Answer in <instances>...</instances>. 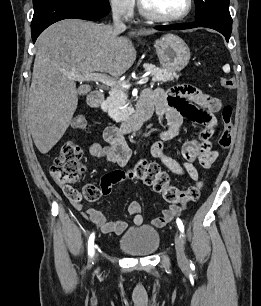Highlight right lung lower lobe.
<instances>
[{
	"label": "right lung lower lobe",
	"instance_id": "1",
	"mask_svg": "<svg viewBox=\"0 0 261 306\" xmlns=\"http://www.w3.org/2000/svg\"><path fill=\"white\" fill-rule=\"evenodd\" d=\"M34 15L31 24L32 40L51 24L69 18L98 20L109 10L77 0H33Z\"/></svg>",
	"mask_w": 261,
	"mask_h": 306
}]
</instances>
